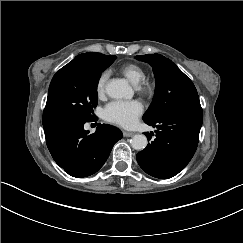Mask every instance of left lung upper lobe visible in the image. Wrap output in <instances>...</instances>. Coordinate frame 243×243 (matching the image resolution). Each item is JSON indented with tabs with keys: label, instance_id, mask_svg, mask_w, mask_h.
Returning a JSON list of instances; mask_svg holds the SVG:
<instances>
[{
	"label": "left lung upper lobe",
	"instance_id": "obj_1",
	"mask_svg": "<svg viewBox=\"0 0 243 243\" xmlns=\"http://www.w3.org/2000/svg\"><path fill=\"white\" fill-rule=\"evenodd\" d=\"M136 58L153 67L156 79L153 102L143 116L145 123H154L178 107H201L194 84L171 60L160 54Z\"/></svg>",
	"mask_w": 243,
	"mask_h": 243
}]
</instances>
